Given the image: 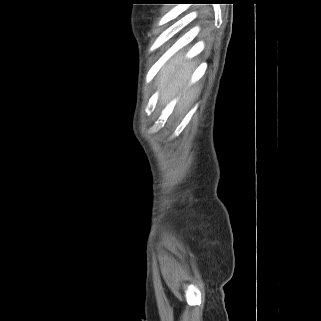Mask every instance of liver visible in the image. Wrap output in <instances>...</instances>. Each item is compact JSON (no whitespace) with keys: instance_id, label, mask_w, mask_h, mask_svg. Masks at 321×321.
<instances>
[{"instance_id":"1","label":"liver","mask_w":321,"mask_h":321,"mask_svg":"<svg viewBox=\"0 0 321 321\" xmlns=\"http://www.w3.org/2000/svg\"><path fill=\"white\" fill-rule=\"evenodd\" d=\"M182 55L173 57L167 65H165L159 73L157 79L158 87L163 86L160 96V102L167 104L187 82L191 76L195 63L189 62L182 64ZM196 89H192L186 93L178 103L180 110L194 97Z\"/></svg>"}]
</instances>
